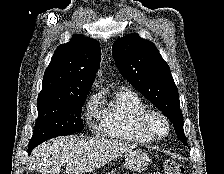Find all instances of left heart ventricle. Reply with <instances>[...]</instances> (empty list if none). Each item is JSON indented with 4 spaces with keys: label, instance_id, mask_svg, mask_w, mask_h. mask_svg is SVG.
Masks as SVG:
<instances>
[{
    "label": "left heart ventricle",
    "instance_id": "1",
    "mask_svg": "<svg viewBox=\"0 0 224 174\" xmlns=\"http://www.w3.org/2000/svg\"><path fill=\"white\" fill-rule=\"evenodd\" d=\"M151 129L157 134H163L165 132V124L158 117H152L150 119Z\"/></svg>",
    "mask_w": 224,
    "mask_h": 174
}]
</instances>
